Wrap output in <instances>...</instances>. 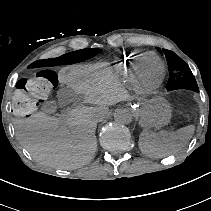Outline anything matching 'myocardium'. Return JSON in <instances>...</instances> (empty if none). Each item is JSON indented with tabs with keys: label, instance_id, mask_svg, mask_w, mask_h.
<instances>
[{
	"label": "myocardium",
	"instance_id": "myocardium-1",
	"mask_svg": "<svg viewBox=\"0 0 211 211\" xmlns=\"http://www.w3.org/2000/svg\"><path fill=\"white\" fill-rule=\"evenodd\" d=\"M158 67L162 71L163 66L159 60H157ZM161 77H158L157 79H153L151 77H143L140 76L139 80L137 81V87L138 90L143 94H149L154 92L160 85Z\"/></svg>",
	"mask_w": 211,
	"mask_h": 211
}]
</instances>
